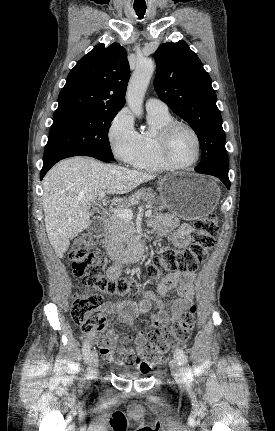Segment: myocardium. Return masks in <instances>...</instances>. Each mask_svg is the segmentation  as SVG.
I'll return each instance as SVG.
<instances>
[{
	"label": "myocardium",
	"instance_id": "myocardium-1",
	"mask_svg": "<svg viewBox=\"0 0 275 431\" xmlns=\"http://www.w3.org/2000/svg\"><path fill=\"white\" fill-rule=\"evenodd\" d=\"M179 128H185L188 131H190V133L193 135V137L195 139V143H196V157L191 163H189L187 165H180V164L176 163L172 159L171 154H170V146H171L172 137H173L174 133L176 132V130ZM157 141H158L159 156H160L161 160L171 169H176V170L190 169V168L194 167L199 162V160L201 158L202 144H201L200 136H199L198 132L195 130V128L187 122L173 120L172 122L168 123L159 132Z\"/></svg>",
	"mask_w": 275,
	"mask_h": 431
}]
</instances>
